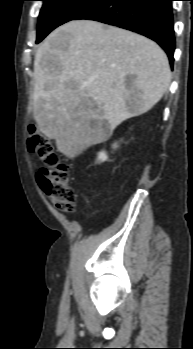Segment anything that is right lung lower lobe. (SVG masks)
I'll use <instances>...</instances> for the list:
<instances>
[{
    "instance_id": "obj_1",
    "label": "right lung lower lobe",
    "mask_w": 193,
    "mask_h": 349,
    "mask_svg": "<svg viewBox=\"0 0 193 349\" xmlns=\"http://www.w3.org/2000/svg\"><path fill=\"white\" fill-rule=\"evenodd\" d=\"M173 0H96L74 20H95L142 34L157 42L173 66Z\"/></svg>"
}]
</instances>
